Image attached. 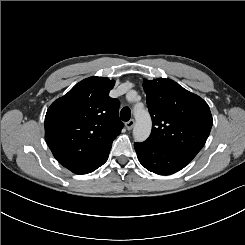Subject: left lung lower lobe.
<instances>
[{"instance_id":"left-lung-lower-lobe-1","label":"left lung lower lobe","mask_w":245,"mask_h":245,"mask_svg":"<svg viewBox=\"0 0 245 245\" xmlns=\"http://www.w3.org/2000/svg\"><path fill=\"white\" fill-rule=\"evenodd\" d=\"M140 163L159 175H170L183 169L190 160L174 150L147 142L134 144Z\"/></svg>"}]
</instances>
